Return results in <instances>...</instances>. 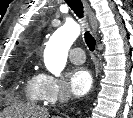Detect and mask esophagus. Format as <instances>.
I'll return each instance as SVG.
<instances>
[{
  "mask_svg": "<svg viewBox=\"0 0 133 118\" xmlns=\"http://www.w3.org/2000/svg\"><path fill=\"white\" fill-rule=\"evenodd\" d=\"M82 2H83V6L85 8V11L88 15V19H89L91 28H92L94 34L96 35L97 34V21H96L94 12H93V10L91 9V7L89 6V4L86 0H82Z\"/></svg>",
  "mask_w": 133,
  "mask_h": 118,
  "instance_id": "34e87169",
  "label": "esophagus"
}]
</instances>
